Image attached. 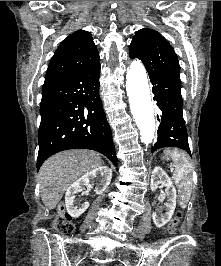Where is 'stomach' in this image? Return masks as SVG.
<instances>
[{
	"instance_id": "obj_1",
	"label": "stomach",
	"mask_w": 221,
	"mask_h": 266,
	"mask_svg": "<svg viewBox=\"0 0 221 266\" xmlns=\"http://www.w3.org/2000/svg\"><path fill=\"white\" fill-rule=\"evenodd\" d=\"M163 159L170 160V156L165 153L164 156H163Z\"/></svg>"
}]
</instances>
